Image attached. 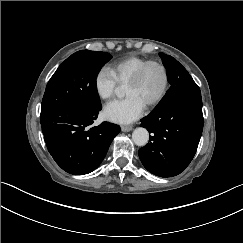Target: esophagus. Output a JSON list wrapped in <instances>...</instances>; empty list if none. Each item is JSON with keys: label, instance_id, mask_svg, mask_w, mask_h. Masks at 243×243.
Segmentation results:
<instances>
[{"label": "esophagus", "instance_id": "1", "mask_svg": "<svg viewBox=\"0 0 243 243\" xmlns=\"http://www.w3.org/2000/svg\"><path fill=\"white\" fill-rule=\"evenodd\" d=\"M121 130H122L123 132H129V131L132 130V127H131V126L122 125V126H121Z\"/></svg>", "mask_w": 243, "mask_h": 243}]
</instances>
